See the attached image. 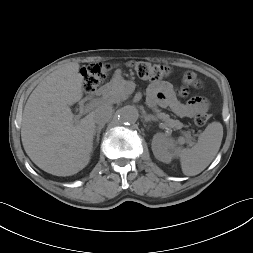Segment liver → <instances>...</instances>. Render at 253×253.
<instances>
[{"mask_svg":"<svg viewBox=\"0 0 253 253\" xmlns=\"http://www.w3.org/2000/svg\"><path fill=\"white\" fill-rule=\"evenodd\" d=\"M79 68L71 62L50 73L33 90L23 111L25 152L40 169L56 176L78 173L93 150L94 112L75 121L70 109L83 96Z\"/></svg>","mask_w":253,"mask_h":253,"instance_id":"6515ba94","label":"liver"}]
</instances>
